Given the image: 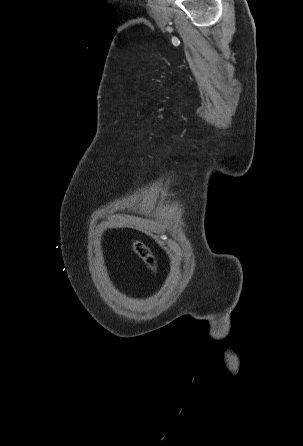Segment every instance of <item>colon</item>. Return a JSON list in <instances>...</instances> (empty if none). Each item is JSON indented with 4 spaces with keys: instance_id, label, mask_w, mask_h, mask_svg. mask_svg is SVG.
Segmentation results:
<instances>
[{
    "instance_id": "5ec220e1",
    "label": "colon",
    "mask_w": 303,
    "mask_h": 446,
    "mask_svg": "<svg viewBox=\"0 0 303 446\" xmlns=\"http://www.w3.org/2000/svg\"><path fill=\"white\" fill-rule=\"evenodd\" d=\"M133 251L141 258L144 263L152 270H156V258L151 250L141 241L137 240L133 243Z\"/></svg>"
}]
</instances>
